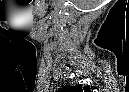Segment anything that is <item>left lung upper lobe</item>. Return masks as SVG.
Wrapping results in <instances>:
<instances>
[{
  "mask_svg": "<svg viewBox=\"0 0 129 92\" xmlns=\"http://www.w3.org/2000/svg\"><path fill=\"white\" fill-rule=\"evenodd\" d=\"M61 91H64V92H83V91L88 92L90 90L88 89V87L82 88L81 85H77V86L64 87V88H62Z\"/></svg>",
  "mask_w": 129,
  "mask_h": 92,
  "instance_id": "left-lung-upper-lobe-1",
  "label": "left lung upper lobe"
}]
</instances>
